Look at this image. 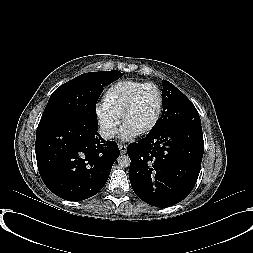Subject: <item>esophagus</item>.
Wrapping results in <instances>:
<instances>
[{"instance_id": "1", "label": "esophagus", "mask_w": 253, "mask_h": 253, "mask_svg": "<svg viewBox=\"0 0 253 253\" xmlns=\"http://www.w3.org/2000/svg\"><path fill=\"white\" fill-rule=\"evenodd\" d=\"M119 150L121 154H125L127 151V145L123 143L118 144Z\"/></svg>"}]
</instances>
